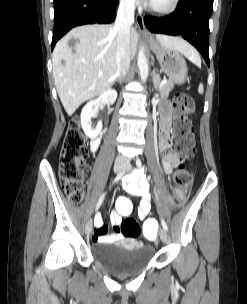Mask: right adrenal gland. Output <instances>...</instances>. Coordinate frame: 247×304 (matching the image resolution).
Instances as JSON below:
<instances>
[{
	"label": "right adrenal gland",
	"mask_w": 247,
	"mask_h": 304,
	"mask_svg": "<svg viewBox=\"0 0 247 304\" xmlns=\"http://www.w3.org/2000/svg\"><path fill=\"white\" fill-rule=\"evenodd\" d=\"M122 81H123L122 78H116L113 83L115 82L122 83Z\"/></svg>",
	"instance_id": "obj_1"
}]
</instances>
